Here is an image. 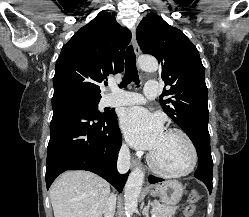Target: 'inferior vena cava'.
Wrapping results in <instances>:
<instances>
[{
  "label": "inferior vena cava",
  "instance_id": "1",
  "mask_svg": "<svg viewBox=\"0 0 249 217\" xmlns=\"http://www.w3.org/2000/svg\"><path fill=\"white\" fill-rule=\"evenodd\" d=\"M130 167V151L129 148L123 144L118 155L117 169L120 173H126ZM116 207V196L111 194L106 201L104 208V217H113Z\"/></svg>",
  "mask_w": 249,
  "mask_h": 217
}]
</instances>
